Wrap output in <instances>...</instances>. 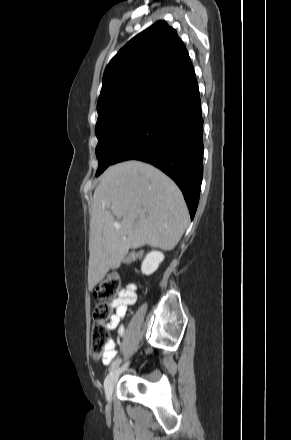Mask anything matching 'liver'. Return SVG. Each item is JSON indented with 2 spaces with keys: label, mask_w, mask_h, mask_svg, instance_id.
<instances>
[{
  "label": "liver",
  "mask_w": 291,
  "mask_h": 440,
  "mask_svg": "<svg viewBox=\"0 0 291 440\" xmlns=\"http://www.w3.org/2000/svg\"><path fill=\"white\" fill-rule=\"evenodd\" d=\"M188 223L183 195L162 171L135 160L110 166L93 195L89 288L93 289L109 270L119 268L131 248L148 244L172 250Z\"/></svg>",
  "instance_id": "1"
}]
</instances>
